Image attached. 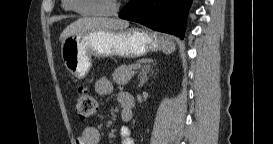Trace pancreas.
<instances>
[{"mask_svg":"<svg viewBox=\"0 0 273 144\" xmlns=\"http://www.w3.org/2000/svg\"><path fill=\"white\" fill-rule=\"evenodd\" d=\"M136 64L131 63L128 65H121L119 66L113 73V81L118 85H125L127 84L132 76L135 74L133 71L134 66Z\"/></svg>","mask_w":273,"mask_h":144,"instance_id":"cf45deb5","label":"pancreas"}]
</instances>
